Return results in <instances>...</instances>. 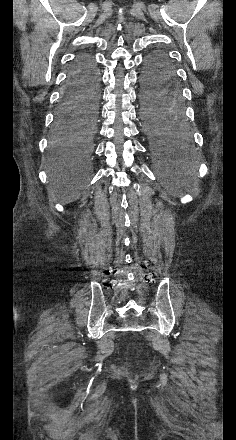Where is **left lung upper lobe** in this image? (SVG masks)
<instances>
[{
  "label": "left lung upper lobe",
  "mask_w": 236,
  "mask_h": 440,
  "mask_svg": "<svg viewBox=\"0 0 236 440\" xmlns=\"http://www.w3.org/2000/svg\"><path fill=\"white\" fill-rule=\"evenodd\" d=\"M161 54H163V52H161V51H157V52L152 53V54L147 58L146 63H152V62L155 61V60L158 58V56H160Z\"/></svg>",
  "instance_id": "left-lung-upper-lobe-1"
}]
</instances>
